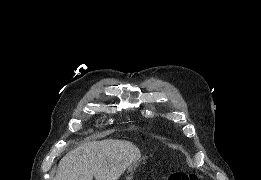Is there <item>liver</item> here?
<instances>
[{
	"label": "liver",
	"instance_id": "liver-1",
	"mask_svg": "<svg viewBox=\"0 0 261 180\" xmlns=\"http://www.w3.org/2000/svg\"><path fill=\"white\" fill-rule=\"evenodd\" d=\"M139 158L141 152L132 142H87L62 158L54 180H119Z\"/></svg>",
	"mask_w": 261,
	"mask_h": 180
}]
</instances>
